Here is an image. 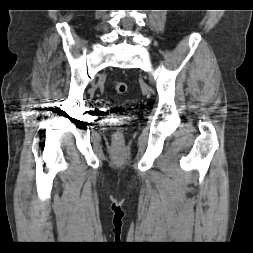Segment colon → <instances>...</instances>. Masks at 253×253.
Masks as SVG:
<instances>
[{
    "mask_svg": "<svg viewBox=\"0 0 253 253\" xmlns=\"http://www.w3.org/2000/svg\"><path fill=\"white\" fill-rule=\"evenodd\" d=\"M113 89L116 93L123 94L126 92L127 85L124 81H116L113 85ZM113 139L115 142H120L122 139V133L120 131L115 132Z\"/></svg>",
    "mask_w": 253,
    "mask_h": 253,
    "instance_id": "obj_1",
    "label": "colon"
}]
</instances>
